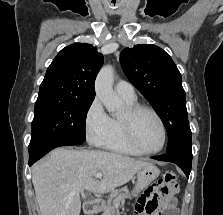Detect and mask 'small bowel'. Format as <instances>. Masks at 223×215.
I'll use <instances>...</instances> for the list:
<instances>
[{"label": "small bowel", "mask_w": 223, "mask_h": 215, "mask_svg": "<svg viewBox=\"0 0 223 215\" xmlns=\"http://www.w3.org/2000/svg\"><path fill=\"white\" fill-rule=\"evenodd\" d=\"M177 191L176 183H165L162 180L154 182L139 196L135 207L136 214L161 215V212L166 209L165 215H177L174 198Z\"/></svg>", "instance_id": "small-bowel-1"}]
</instances>
